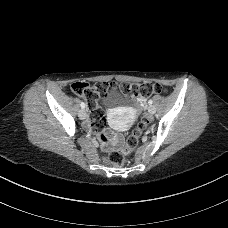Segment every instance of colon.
<instances>
[{"label":"colon","mask_w":228,"mask_h":228,"mask_svg":"<svg viewBox=\"0 0 228 228\" xmlns=\"http://www.w3.org/2000/svg\"><path fill=\"white\" fill-rule=\"evenodd\" d=\"M110 87L111 85L105 82L97 83L92 87L85 82H75L71 86L72 91L77 96L85 99L91 119V128L98 134H101L105 126L104 112L99 105V100L108 93ZM119 91L127 97L145 99L153 94H161L165 89L159 83L126 82L119 85ZM146 126L147 120L142 119L138 123L136 130L127 139L125 148L122 151L110 152L106 160L113 165H122L124 156L131 153L137 147L139 138Z\"/></svg>","instance_id":"colon-1"}]
</instances>
